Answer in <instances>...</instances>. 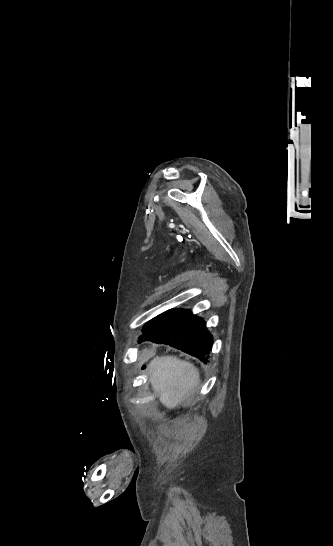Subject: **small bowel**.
I'll return each instance as SVG.
<instances>
[{
	"label": "small bowel",
	"instance_id": "small-bowel-1",
	"mask_svg": "<svg viewBox=\"0 0 333 546\" xmlns=\"http://www.w3.org/2000/svg\"><path fill=\"white\" fill-rule=\"evenodd\" d=\"M144 355H141L139 358L144 361L150 360V355H153L155 353V348L153 346H145L143 348Z\"/></svg>",
	"mask_w": 333,
	"mask_h": 546
}]
</instances>
